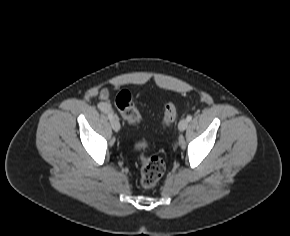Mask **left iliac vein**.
Here are the masks:
<instances>
[{"label":"left iliac vein","instance_id":"obj_1","mask_svg":"<svg viewBox=\"0 0 290 236\" xmlns=\"http://www.w3.org/2000/svg\"><path fill=\"white\" fill-rule=\"evenodd\" d=\"M188 126V121L186 119H182L178 124V129L180 131H184Z\"/></svg>","mask_w":290,"mask_h":236}]
</instances>
